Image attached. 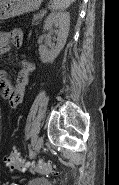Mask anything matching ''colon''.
<instances>
[{
    "instance_id": "obj_1",
    "label": "colon",
    "mask_w": 119,
    "mask_h": 185,
    "mask_svg": "<svg viewBox=\"0 0 119 185\" xmlns=\"http://www.w3.org/2000/svg\"><path fill=\"white\" fill-rule=\"evenodd\" d=\"M6 165L11 169H23L29 170L34 173L48 174L53 171L52 166L47 162L34 161V162H25L21 157V154L18 150L13 149L6 157H5Z\"/></svg>"
}]
</instances>
